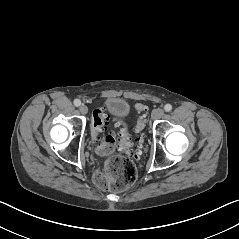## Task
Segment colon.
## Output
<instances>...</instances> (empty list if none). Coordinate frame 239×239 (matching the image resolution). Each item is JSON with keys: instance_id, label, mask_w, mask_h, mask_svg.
<instances>
[{"instance_id": "5ec220e1", "label": "colon", "mask_w": 239, "mask_h": 239, "mask_svg": "<svg viewBox=\"0 0 239 239\" xmlns=\"http://www.w3.org/2000/svg\"><path fill=\"white\" fill-rule=\"evenodd\" d=\"M137 111L141 114L135 130L140 135L137 138L138 150L142 147V131L145 127V112L147 107L144 104H136ZM110 122L109 115L98 108L94 110L91 122V135L96 143V150L102 155H109L104 163L103 169L95 173L94 179L96 184L107 191L119 192L130 187L136 180L137 171L133 161L123 154H112L116 149V139L112 135L100 138L99 134ZM129 134L126 129L122 132V139L127 140ZM123 152L127 153V145L124 143L121 147Z\"/></svg>"}]
</instances>
